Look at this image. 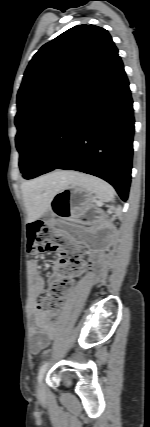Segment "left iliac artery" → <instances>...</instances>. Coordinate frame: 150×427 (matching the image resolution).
I'll use <instances>...</instances> for the list:
<instances>
[{
  "mask_svg": "<svg viewBox=\"0 0 150 427\" xmlns=\"http://www.w3.org/2000/svg\"><path fill=\"white\" fill-rule=\"evenodd\" d=\"M47 366H48V362H45V363L40 367V370H39V373H38V380H39V381L42 379V377H43V375H44V373H45V371H46V369H47Z\"/></svg>",
  "mask_w": 150,
  "mask_h": 427,
  "instance_id": "left-iliac-artery-1",
  "label": "left iliac artery"
}]
</instances>
